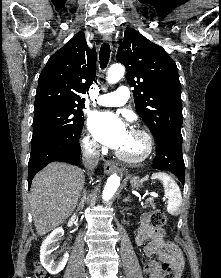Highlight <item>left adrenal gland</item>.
I'll return each instance as SVG.
<instances>
[{"label":"left adrenal gland","mask_w":221,"mask_h":278,"mask_svg":"<svg viewBox=\"0 0 221 278\" xmlns=\"http://www.w3.org/2000/svg\"><path fill=\"white\" fill-rule=\"evenodd\" d=\"M130 194H128V196L126 198L123 199V202H130Z\"/></svg>","instance_id":"obj_1"}]
</instances>
